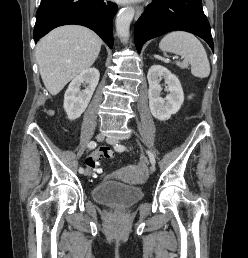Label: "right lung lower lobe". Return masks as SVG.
I'll return each instance as SVG.
<instances>
[{
	"label": "right lung lower lobe",
	"instance_id": "1",
	"mask_svg": "<svg viewBox=\"0 0 248 258\" xmlns=\"http://www.w3.org/2000/svg\"><path fill=\"white\" fill-rule=\"evenodd\" d=\"M118 7L104 0H41L36 13L35 43L52 29L77 24L95 31L113 47L112 22Z\"/></svg>",
	"mask_w": 248,
	"mask_h": 258
}]
</instances>
